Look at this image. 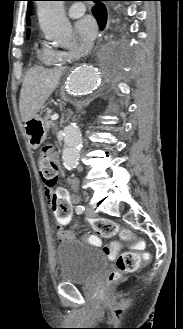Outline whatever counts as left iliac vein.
I'll list each match as a JSON object with an SVG mask.
<instances>
[{
  "instance_id": "obj_1",
  "label": "left iliac vein",
  "mask_w": 183,
  "mask_h": 329,
  "mask_svg": "<svg viewBox=\"0 0 183 329\" xmlns=\"http://www.w3.org/2000/svg\"><path fill=\"white\" fill-rule=\"evenodd\" d=\"M85 213L88 217H95L96 216V213H95L94 209L91 206L86 207Z\"/></svg>"
}]
</instances>
